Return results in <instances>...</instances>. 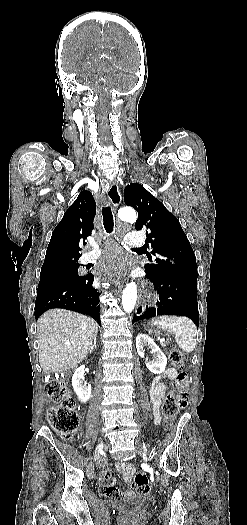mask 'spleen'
I'll use <instances>...</instances> for the list:
<instances>
[{
	"instance_id": "1",
	"label": "spleen",
	"mask_w": 247,
	"mask_h": 525,
	"mask_svg": "<svg viewBox=\"0 0 247 525\" xmlns=\"http://www.w3.org/2000/svg\"><path fill=\"white\" fill-rule=\"evenodd\" d=\"M152 325H156L159 329H167L169 333L175 335V341L186 353H192L196 347V325L191 319L187 317H154Z\"/></svg>"
}]
</instances>
